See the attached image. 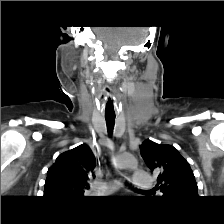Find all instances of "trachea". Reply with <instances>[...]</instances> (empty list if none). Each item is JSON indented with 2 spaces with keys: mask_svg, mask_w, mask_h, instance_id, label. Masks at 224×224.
Instances as JSON below:
<instances>
[{
  "mask_svg": "<svg viewBox=\"0 0 224 224\" xmlns=\"http://www.w3.org/2000/svg\"><path fill=\"white\" fill-rule=\"evenodd\" d=\"M105 120H106L108 133H109V135H112L113 129H114V124H115V116L114 117L105 116Z\"/></svg>",
  "mask_w": 224,
  "mask_h": 224,
  "instance_id": "obj_1",
  "label": "trachea"
}]
</instances>
